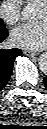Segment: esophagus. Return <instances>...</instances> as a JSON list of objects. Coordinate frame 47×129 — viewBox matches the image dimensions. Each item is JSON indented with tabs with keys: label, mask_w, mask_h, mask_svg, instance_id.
<instances>
[{
	"label": "esophagus",
	"mask_w": 47,
	"mask_h": 129,
	"mask_svg": "<svg viewBox=\"0 0 47 129\" xmlns=\"http://www.w3.org/2000/svg\"><path fill=\"white\" fill-rule=\"evenodd\" d=\"M23 53H24L25 55H31V56L38 55V53L33 52V51H30V50H24Z\"/></svg>",
	"instance_id": "esophagus-1"
}]
</instances>
